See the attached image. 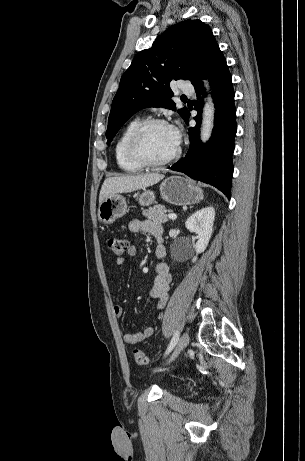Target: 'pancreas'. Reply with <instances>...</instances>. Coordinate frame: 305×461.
<instances>
[{"instance_id": "1", "label": "pancreas", "mask_w": 305, "mask_h": 461, "mask_svg": "<svg viewBox=\"0 0 305 461\" xmlns=\"http://www.w3.org/2000/svg\"><path fill=\"white\" fill-rule=\"evenodd\" d=\"M169 212L171 211L164 205H156L154 207H150L149 209L143 210L142 214L157 224H165L168 221L167 213Z\"/></svg>"}]
</instances>
